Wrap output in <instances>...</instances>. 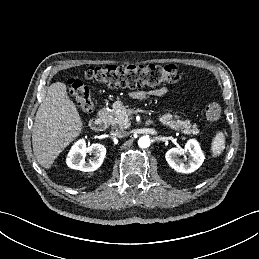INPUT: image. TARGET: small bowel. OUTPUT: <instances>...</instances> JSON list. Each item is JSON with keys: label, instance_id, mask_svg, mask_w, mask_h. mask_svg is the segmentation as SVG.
<instances>
[{"label": "small bowel", "instance_id": "small-bowel-1", "mask_svg": "<svg viewBox=\"0 0 259 259\" xmlns=\"http://www.w3.org/2000/svg\"><path fill=\"white\" fill-rule=\"evenodd\" d=\"M167 92V89L165 87L156 89L150 93L147 92H136L133 93V97L137 98V99H145L147 97H149L150 95H154V96H161L163 94H165Z\"/></svg>", "mask_w": 259, "mask_h": 259}]
</instances>
